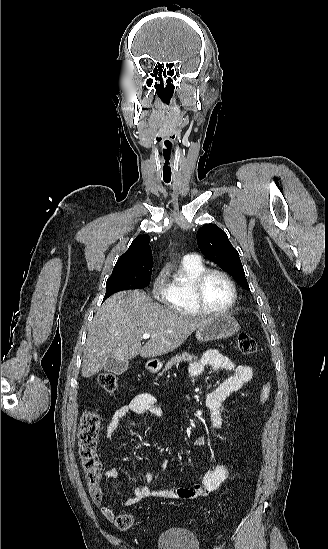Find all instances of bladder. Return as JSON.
I'll list each match as a JSON object with an SVG mask.
<instances>
[{
  "mask_svg": "<svg viewBox=\"0 0 328 549\" xmlns=\"http://www.w3.org/2000/svg\"><path fill=\"white\" fill-rule=\"evenodd\" d=\"M158 549H199L198 536H186L179 528H172L158 538Z\"/></svg>",
  "mask_w": 328,
  "mask_h": 549,
  "instance_id": "bladder-1",
  "label": "bladder"
}]
</instances>
